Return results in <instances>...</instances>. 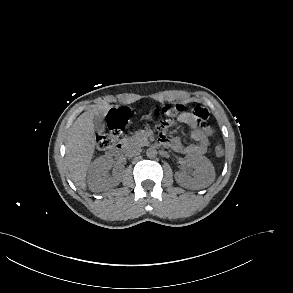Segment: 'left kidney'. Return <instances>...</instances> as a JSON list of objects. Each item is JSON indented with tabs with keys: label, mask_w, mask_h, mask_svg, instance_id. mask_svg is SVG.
Returning a JSON list of instances; mask_svg holds the SVG:
<instances>
[{
	"label": "left kidney",
	"mask_w": 293,
	"mask_h": 293,
	"mask_svg": "<svg viewBox=\"0 0 293 293\" xmlns=\"http://www.w3.org/2000/svg\"><path fill=\"white\" fill-rule=\"evenodd\" d=\"M185 163L188 166L195 168L194 178L188 177L183 172H176L175 179L181 186L193 185L196 189H201L209 186L215 179V170L205 156L193 155L185 158Z\"/></svg>",
	"instance_id": "obj_1"
}]
</instances>
